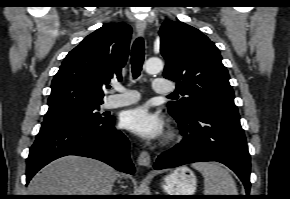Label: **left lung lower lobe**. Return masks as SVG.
<instances>
[{
  "instance_id": "left-lung-lower-lobe-1",
  "label": "left lung lower lobe",
  "mask_w": 290,
  "mask_h": 199,
  "mask_svg": "<svg viewBox=\"0 0 290 199\" xmlns=\"http://www.w3.org/2000/svg\"><path fill=\"white\" fill-rule=\"evenodd\" d=\"M183 140L158 156L155 169L174 168L192 162L217 161L232 169L250 191V154L240 117H227L195 108L175 118Z\"/></svg>"
}]
</instances>
